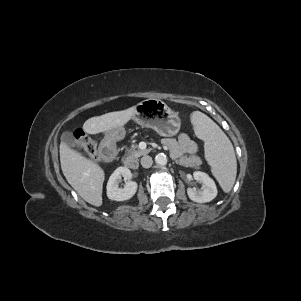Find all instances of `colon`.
<instances>
[{
    "label": "colon",
    "instance_id": "5ec220e1",
    "mask_svg": "<svg viewBox=\"0 0 301 301\" xmlns=\"http://www.w3.org/2000/svg\"><path fill=\"white\" fill-rule=\"evenodd\" d=\"M77 144L84 149L89 157L93 159L98 158L96 143L81 129L74 132Z\"/></svg>",
    "mask_w": 301,
    "mask_h": 301
}]
</instances>
